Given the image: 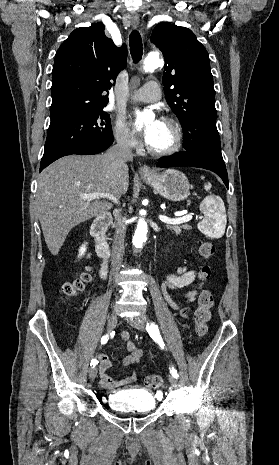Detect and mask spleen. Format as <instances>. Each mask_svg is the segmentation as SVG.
Wrapping results in <instances>:
<instances>
[{
  "instance_id": "obj_1",
  "label": "spleen",
  "mask_w": 279,
  "mask_h": 465,
  "mask_svg": "<svg viewBox=\"0 0 279 465\" xmlns=\"http://www.w3.org/2000/svg\"><path fill=\"white\" fill-rule=\"evenodd\" d=\"M211 183H206V191L211 189ZM204 219L198 224L199 230L211 238H221L225 233L227 218L223 200L219 196H207L200 204Z\"/></svg>"
}]
</instances>
